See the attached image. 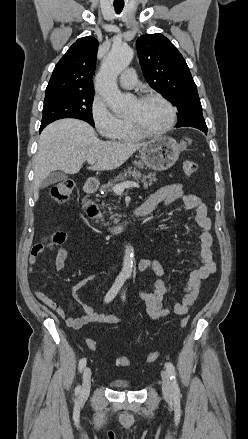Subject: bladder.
I'll list each match as a JSON object with an SVG mask.
<instances>
[{
	"label": "bladder",
	"instance_id": "obj_1",
	"mask_svg": "<svg viewBox=\"0 0 248 439\" xmlns=\"http://www.w3.org/2000/svg\"><path fill=\"white\" fill-rule=\"evenodd\" d=\"M111 385L115 388H119V389H129L130 388V383L127 381H122V380H113L111 381Z\"/></svg>",
	"mask_w": 248,
	"mask_h": 439
}]
</instances>
